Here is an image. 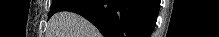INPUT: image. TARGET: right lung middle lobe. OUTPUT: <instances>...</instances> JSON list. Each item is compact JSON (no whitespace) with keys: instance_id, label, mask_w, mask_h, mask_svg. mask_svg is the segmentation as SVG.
Masks as SVG:
<instances>
[{"instance_id":"1","label":"right lung middle lobe","mask_w":219,"mask_h":37,"mask_svg":"<svg viewBox=\"0 0 219 37\" xmlns=\"http://www.w3.org/2000/svg\"><path fill=\"white\" fill-rule=\"evenodd\" d=\"M66 0H53L51 4V11L49 13V17H51L54 13L58 12L62 5H64Z\"/></svg>"}]
</instances>
